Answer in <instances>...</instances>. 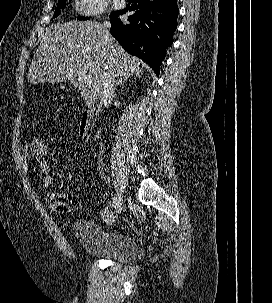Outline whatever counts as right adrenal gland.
Masks as SVG:
<instances>
[{"mask_svg":"<svg viewBox=\"0 0 272 303\" xmlns=\"http://www.w3.org/2000/svg\"><path fill=\"white\" fill-rule=\"evenodd\" d=\"M128 81L127 77H120L118 79V81L115 83V87L119 86V85H123L124 83H126Z\"/></svg>","mask_w":272,"mask_h":303,"instance_id":"right-adrenal-gland-1","label":"right adrenal gland"}]
</instances>
